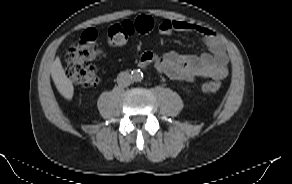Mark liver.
Segmentation results:
<instances>
[{
    "label": "liver",
    "mask_w": 292,
    "mask_h": 184,
    "mask_svg": "<svg viewBox=\"0 0 292 184\" xmlns=\"http://www.w3.org/2000/svg\"><path fill=\"white\" fill-rule=\"evenodd\" d=\"M51 76L59 93L67 100H71L74 87L71 80L66 76L59 57L53 62Z\"/></svg>",
    "instance_id": "1"
}]
</instances>
